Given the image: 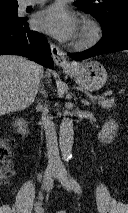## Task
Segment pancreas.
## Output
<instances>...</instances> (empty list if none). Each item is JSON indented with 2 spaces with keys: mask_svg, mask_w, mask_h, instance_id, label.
<instances>
[{
  "mask_svg": "<svg viewBox=\"0 0 128 213\" xmlns=\"http://www.w3.org/2000/svg\"><path fill=\"white\" fill-rule=\"evenodd\" d=\"M98 105L105 109H111L115 107V100L113 98L106 99L104 97H98Z\"/></svg>",
  "mask_w": 128,
  "mask_h": 213,
  "instance_id": "cf45deb5",
  "label": "pancreas"
}]
</instances>
